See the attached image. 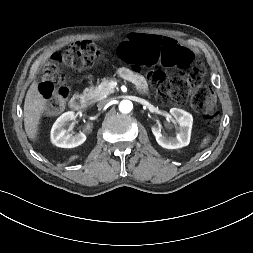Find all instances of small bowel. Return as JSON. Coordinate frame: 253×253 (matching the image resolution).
<instances>
[{"label": "small bowel", "instance_id": "small-bowel-1", "mask_svg": "<svg viewBox=\"0 0 253 253\" xmlns=\"http://www.w3.org/2000/svg\"><path fill=\"white\" fill-rule=\"evenodd\" d=\"M119 75L127 80L134 81L140 91L146 90V83L143 78L130 68L121 67L119 69Z\"/></svg>", "mask_w": 253, "mask_h": 253}]
</instances>
